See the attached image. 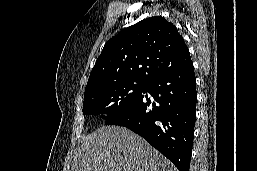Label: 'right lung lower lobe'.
<instances>
[{
	"mask_svg": "<svg viewBox=\"0 0 257 171\" xmlns=\"http://www.w3.org/2000/svg\"><path fill=\"white\" fill-rule=\"evenodd\" d=\"M196 77L193 63L151 81L143 93L108 125L125 126L147 140L172 161L179 171H188L196 115Z\"/></svg>",
	"mask_w": 257,
	"mask_h": 171,
	"instance_id": "obj_1",
	"label": "right lung lower lobe"
}]
</instances>
